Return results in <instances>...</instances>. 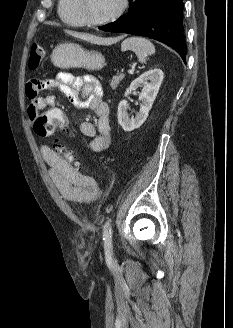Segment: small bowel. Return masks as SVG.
Here are the masks:
<instances>
[{
    "label": "small bowel",
    "instance_id": "c3829d8e",
    "mask_svg": "<svg viewBox=\"0 0 233 328\" xmlns=\"http://www.w3.org/2000/svg\"><path fill=\"white\" fill-rule=\"evenodd\" d=\"M49 89H58L78 108H89L97 115V124L84 121L79 128L84 136L91 138L90 149L97 153L108 151L113 145V133L110 123V109L103 100V88L93 76L74 77L61 72L53 79L31 80L26 86L29 98V120L40 115L44 109L52 110L54 97H43L41 93ZM42 156L49 166V176L59 193L67 200L88 202L95 199L100 192L97 182L84 175L63 159L47 145L40 147Z\"/></svg>",
    "mask_w": 233,
    "mask_h": 328
}]
</instances>
